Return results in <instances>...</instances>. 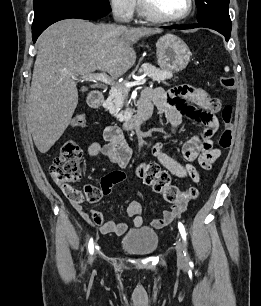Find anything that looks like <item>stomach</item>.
I'll list each match as a JSON object with an SVG mask.
<instances>
[{"instance_id":"obj_1","label":"stomach","mask_w":261,"mask_h":306,"mask_svg":"<svg viewBox=\"0 0 261 306\" xmlns=\"http://www.w3.org/2000/svg\"><path fill=\"white\" fill-rule=\"evenodd\" d=\"M156 55L161 69L180 72L188 65L191 52L181 38L166 34L156 43Z\"/></svg>"}]
</instances>
